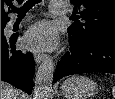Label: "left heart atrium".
Instances as JSON below:
<instances>
[{"label":"left heart atrium","instance_id":"1","mask_svg":"<svg viewBox=\"0 0 115 99\" xmlns=\"http://www.w3.org/2000/svg\"><path fill=\"white\" fill-rule=\"evenodd\" d=\"M23 44L33 51L50 50L57 44L56 30L47 22L37 23L28 29Z\"/></svg>","mask_w":115,"mask_h":99}]
</instances>
